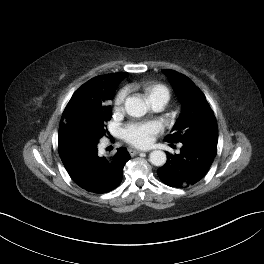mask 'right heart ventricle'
<instances>
[{
	"instance_id": "1",
	"label": "right heart ventricle",
	"mask_w": 264,
	"mask_h": 264,
	"mask_svg": "<svg viewBox=\"0 0 264 264\" xmlns=\"http://www.w3.org/2000/svg\"><path fill=\"white\" fill-rule=\"evenodd\" d=\"M141 88L150 103L156 99H163L166 102L170 99V91L163 84L144 82Z\"/></svg>"
}]
</instances>
